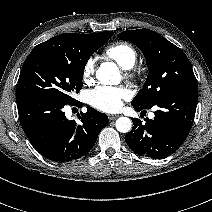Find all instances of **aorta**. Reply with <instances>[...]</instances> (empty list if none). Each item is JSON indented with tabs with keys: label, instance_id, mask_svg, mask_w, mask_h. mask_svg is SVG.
Returning a JSON list of instances; mask_svg holds the SVG:
<instances>
[{
	"label": "aorta",
	"instance_id": "aorta-1",
	"mask_svg": "<svg viewBox=\"0 0 212 212\" xmlns=\"http://www.w3.org/2000/svg\"><path fill=\"white\" fill-rule=\"evenodd\" d=\"M97 79L103 84H112L121 80L118 70L113 63H103L96 71ZM116 129L121 133H127L132 129V121L128 117H120L116 121Z\"/></svg>",
	"mask_w": 212,
	"mask_h": 212
}]
</instances>
